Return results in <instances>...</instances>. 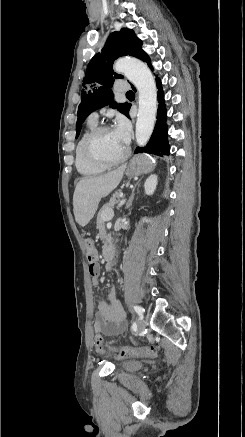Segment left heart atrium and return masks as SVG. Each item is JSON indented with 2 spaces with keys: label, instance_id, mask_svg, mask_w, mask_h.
<instances>
[{
  "label": "left heart atrium",
  "instance_id": "1",
  "mask_svg": "<svg viewBox=\"0 0 245 437\" xmlns=\"http://www.w3.org/2000/svg\"><path fill=\"white\" fill-rule=\"evenodd\" d=\"M114 132L119 138V140L125 145H128L130 139V127L128 122L122 118L118 117L115 123Z\"/></svg>",
  "mask_w": 245,
  "mask_h": 437
}]
</instances>
